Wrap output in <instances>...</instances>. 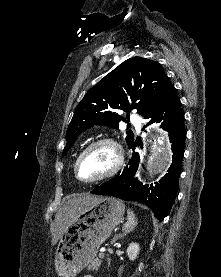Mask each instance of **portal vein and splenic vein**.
<instances>
[{
    "instance_id": "18ae733b",
    "label": "portal vein and splenic vein",
    "mask_w": 221,
    "mask_h": 277,
    "mask_svg": "<svg viewBox=\"0 0 221 277\" xmlns=\"http://www.w3.org/2000/svg\"><path fill=\"white\" fill-rule=\"evenodd\" d=\"M99 256H100V257H104V253H103V252H100V253H99Z\"/></svg>"
}]
</instances>
